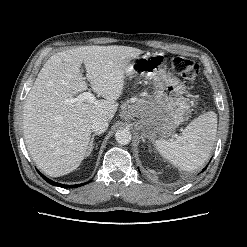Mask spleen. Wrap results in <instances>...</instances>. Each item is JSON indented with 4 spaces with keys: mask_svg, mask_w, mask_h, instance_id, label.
Instances as JSON below:
<instances>
[{
    "mask_svg": "<svg viewBox=\"0 0 247 247\" xmlns=\"http://www.w3.org/2000/svg\"><path fill=\"white\" fill-rule=\"evenodd\" d=\"M217 132V115L206 112L194 119L175 141L158 139L155 147L163 158L184 171L200 168L210 156Z\"/></svg>",
    "mask_w": 247,
    "mask_h": 247,
    "instance_id": "3e777b00",
    "label": "spleen"
}]
</instances>
